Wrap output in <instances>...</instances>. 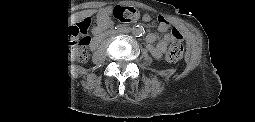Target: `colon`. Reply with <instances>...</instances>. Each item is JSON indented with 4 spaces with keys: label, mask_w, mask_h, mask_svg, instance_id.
I'll return each mask as SVG.
<instances>
[{
    "label": "colon",
    "mask_w": 255,
    "mask_h": 122,
    "mask_svg": "<svg viewBox=\"0 0 255 122\" xmlns=\"http://www.w3.org/2000/svg\"><path fill=\"white\" fill-rule=\"evenodd\" d=\"M113 16L123 23H131L136 21L140 13L133 8H116L113 11ZM172 33L177 37L167 52V59L170 62H177L182 59L184 54V47L180 40V35L176 29H172ZM84 29H78L73 35L68 37L71 45V55L75 58L83 59L85 56V48L82 45Z\"/></svg>",
    "instance_id": "colon-1"
}]
</instances>
